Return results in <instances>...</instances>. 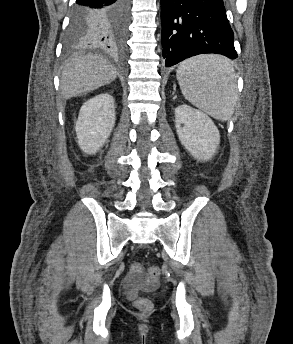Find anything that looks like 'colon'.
<instances>
[{
    "mask_svg": "<svg viewBox=\"0 0 293 344\" xmlns=\"http://www.w3.org/2000/svg\"><path fill=\"white\" fill-rule=\"evenodd\" d=\"M143 272V268L140 264H132L130 269V276L135 279L140 276ZM161 275V270L158 266H151L148 270V276L153 281H157ZM135 307L141 312H148L152 308V303L146 298H138L135 301Z\"/></svg>",
    "mask_w": 293,
    "mask_h": 344,
    "instance_id": "5ec220e1",
    "label": "colon"
}]
</instances>
